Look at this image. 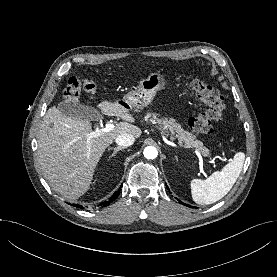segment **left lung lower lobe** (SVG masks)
Returning a JSON list of instances; mask_svg holds the SVG:
<instances>
[{
    "label": "left lung lower lobe",
    "instance_id": "1",
    "mask_svg": "<svg viewBox=\"0 0 277 277\" xmlns=\"http://www.w3.org/2000/svg\"><path fill=\"white\" fill-rule=\"evenodd\" d=\"M179 203H182V202L179 200ZM187 206H189V207H190V205H187Z\"/></svg>",
    "mask_w": 277,
    "mask_h": 277
}]
</instances>
